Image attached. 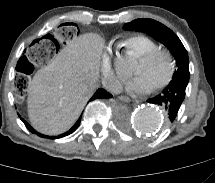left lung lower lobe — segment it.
<instances>
[{"label": "left lung lower lobe", "instance_id": "left-lung-lower-lobe-1", "mask_svg": "<svg viewBox=\"0 0 215 183\" xmlns=\"http://www.w3.org/2000/svg\"><path fill=\"white\" fill-rule=\"evenodd\" d=\"M188 80L172 79L167 87L157 96L147 100L165 109L168 120L173 122L178 114L179 108L185 98Z\"/></svg>", "mask_w": 215, "mask_h": 183}]
</instances>
